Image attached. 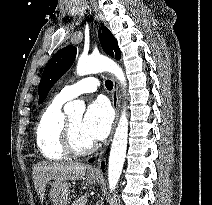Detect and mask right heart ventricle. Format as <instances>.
I'll list each match as a JSON object with an SVG mask.
<instances>
[{
  "label": "right heart ventricle",
  "instance_id": "obj_1",
  "mask_svg": "<svg viewBox=\"0 0 212 205\" xmlns=\"http://www.w3.org/2000/svg\"><path fill=\"white\" fill-rule=\"evenodd\" d=\"M65 100L56 96L41 112L35 130L36 145L49 160L60 161L68 157L61 143L65 115L62 106Z\"/></svg>",
  "mask_w": 212,
  "mask_h": 205
}]
</instances>
